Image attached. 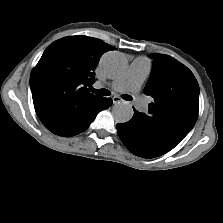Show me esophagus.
<instances>
[{
	"mask_svg": "<svg viewBox=\"0 0 223 223\" xmlns=\"http://www.w3.org/2000/svg\"><path fill=\"white\" fill-rule=\"evenodd\" d=\"M112 101H113V104H117V103L121 102L122 99L120 97H118V96H114L112 98Z\"/></svg>",
	"mask_w": 223,
	"mask_h": 223,
	"instance_id": "1",
	"label": "esophagus"
}]
</instances>
